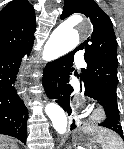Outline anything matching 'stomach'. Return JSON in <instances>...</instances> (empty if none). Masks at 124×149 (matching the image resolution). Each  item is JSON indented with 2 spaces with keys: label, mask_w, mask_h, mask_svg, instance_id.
Returning a JSON list of instances; mask_svg holds the SVG:
<instances>
[{
  "label": "stomach",
  "mask_w": 124,
  "mask_h": 149,
  "mask_svg": "<svg viewBox=\"0 0 124 149\" xmlns=\"http://www.w3.org/2000/svg\"><path fill=\"white\" fill-rule=\"evenodd\" d=\"M115 137L116 135L111 131L105 129H92V128H79L73 135V141L75 144L82 147L83 149H98V145L101 144L98 137Z\"/></svg>",
  "instance_id": "obj_1"
}]
</instances>
